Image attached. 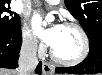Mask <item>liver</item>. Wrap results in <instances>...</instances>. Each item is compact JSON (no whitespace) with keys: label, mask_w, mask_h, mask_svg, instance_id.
I'll list each match as a JSON object with an SVG mask.
<instances>
[{"label":"liver","mask_w":102,"mask_h":75,"mask_svg":"<svg viewBox=\"0 0 102 75\" xmlns=\"http://www.w3.org/2000/svg\"><path fill=\"white\" fill-rule=\"evenodd\" d=\"M0 75H20L18 70L1 69Z\"/></svg>","instance_id":"obj_1"}]
</instances>
